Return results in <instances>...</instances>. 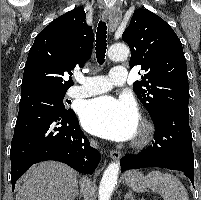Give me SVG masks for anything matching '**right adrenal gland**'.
<instances>
[{"label": "right adrenal gland", "instance_id": "obj_1", "mask_svg": "<svg viewBox=\"0 0 201 200\" xmlns=\"http://www.w3.org/2000/svg\"><path fill=\"white\" fill-rule=\"evenodd\" d=\"M77 196H79L78 185H76V187H75V190H74V193H73V195H72L71 200H75V198H76Z\"/></svg>", "mask_w": 201, "mask_h": 200}]
</instances>
